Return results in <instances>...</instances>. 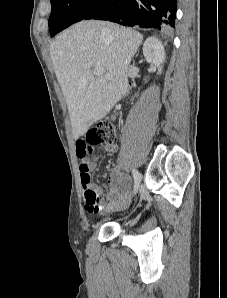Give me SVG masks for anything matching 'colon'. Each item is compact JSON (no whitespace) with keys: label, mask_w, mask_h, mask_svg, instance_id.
Returning <instances> with one entry per match:
<instances>
[{"label":"colon","mask_w":227,"mask_h":298,"mask_svg":"<svg viewBox=\"0 0 227 298\" xmlns=\"http://www.w3.org/2000/svg\"><path fill=\"white\" fill-rule=\"evenodd\" d=\"M86 139L87 142H89V146L94 147L95 145L100 144H113L115 143L117 137L114 126L110 123L103 122L91 128L86 135ZM89 179L90 178L85 177L84 183L87 184ZM87 197L93 203L96 201L94 194L90 192H87Z\"/></svg>","instance_id":"colon-1"}]
</instances>
